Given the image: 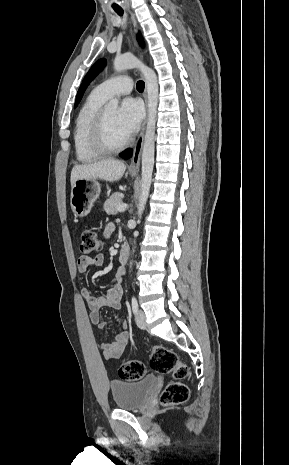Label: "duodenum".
I'll return each mask as SVG.
<instances>
[{
	"instance_id": "1",
	"label": "duodenum",
	"mask_w": 289,
	"mask_h": 465,
	"mask_svg": "<svg viewBox=\"0 0 289 465\" xmlns=\"http://www.w3.org/2000/svg\"><path fill=\"white\" fill-rule=\"evenodd\" d=\"M130 249L128 245H123L120 251V261L126 262L129 257Z\"/></svg>"
}]
</instances>
